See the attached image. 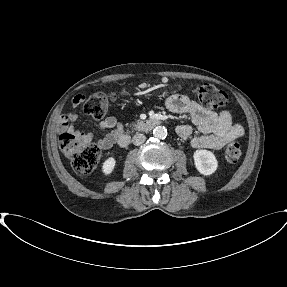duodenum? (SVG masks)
Listing matches in <instances>:
<instances>
[{
  "label": "duodenum",
  "mask_w": 287,
  "mask_h": 287,
  "mask_svg": "<svg viewBox=\"0 0 287 287\" xmlns=\"http://www.w3.org/2000/svg\"><path fill=\"white\" fill-rule=\"evenodd\" d=\"M161 122V119L157 116H152L148 119L141 120L138 123L135 124L134 129L136 132H148L154 129L159 123ZM118 144L120 147L125 148L128 146L130 142V137L126 133H122L118 139Z\"/></svg>",
  "instance_id": "410a0bca"
}]
</instances>
